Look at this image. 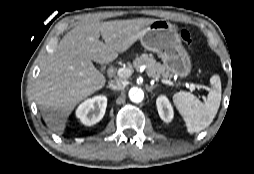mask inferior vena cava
<instances>
[{
	"label": "inferior vena cava",
	"instance_id": "1",
	"mask_svg": "<svg viewBox=\"0 0 254 174\" xmlns=\"http://www.w3.org/2000/svg\"><path fill=\"white\" fill-rule=\"evenodd\" d=\"M125 85H126L125 82L120 79L111 80L109 82V88L112 90H121L125 87Z\"/></svg>",
	"mask_w": 254,
	"mask_h": 174
}]
</instances>
